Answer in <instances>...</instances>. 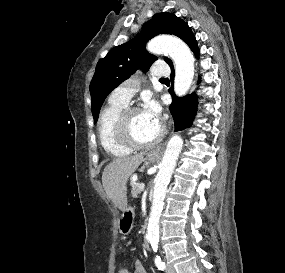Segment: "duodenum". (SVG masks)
I'll list each match as a JSON object with an SVG mask.
<instances>
[{
    "label": "duodenum",
    "instance_id": "410a0bca",
    "mask_svg": "<svg viewBox=\"0 0 285 273\" xmlns=\"http://www.w3.org/2000/svg\"><path fill=\"white\" fill-rule=\"evenodd\" d=\"M143 244L146 249L149 248V237L147 233H145L143 236Z\"/></svg>",
    "mask_w": 285,
    "mask_h": 273
}]
</instances>
